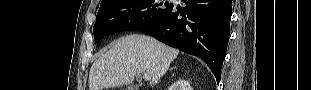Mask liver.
I'll return each mask as SVG.
<instances>
[{
    "instance_id": "1",
    "label": "liver",
    "mask_w": 311,
    "mask_h": 90,
    "mask_svg": "<svg viewBox=\"0 0 311 90\" xmlns=\"http://www.w3.org/2000/svg\"><path fill=\"white\" fill-rule=\"evenodd\" d=\"M179 54L149 36L132 34L117 40L96 60L89 73V90H104L130 84L136 75L149 74L156 85Z\"/></svg>"
}]
</instances>
